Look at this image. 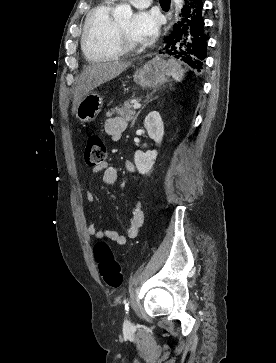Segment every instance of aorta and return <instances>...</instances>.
Listing matches in <instances>:
<instances>
[{
	"label": "aorta",
	"mask_w": 276,
	"mask_h": 363,
	"mask_svg": "<svg viewBox=\"0 0 276 363\" xmlns=\"http://www.w3.org/2000/svg\"><path fill=\"white\" fill-rule=\"evenodd\" d=\"M175 5V16L176 21H178L179 13L181 12V9L183 8L184 0H173ZM133 15V11L130 7V5L127 4H119L115 7L113 10V17L116 21H123V20H129Z\"/></svg>",
	"instance_id": "762f6f07"
}]
</instances>
